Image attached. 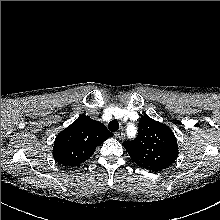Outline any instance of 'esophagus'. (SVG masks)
I'll return each mask as SVG.
<instances>
[{
    "instance_id": "1",
    "label": "esophagus",
    "mask_w": 220,
    "mask_h": 220,
    "mask_svg": "<svg viewBox=\"0 0 220 220\" xmlns=\"http://www.w3.org/2000/svg\"><path fill=\"white\" fill-rule=\"evenodd\" d=\"M114 136L119 140H123L125 138V133L123 131H118L114 133Z\"/></svg>"
}]
</instances>
